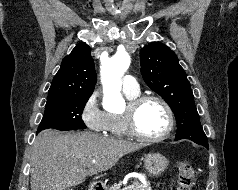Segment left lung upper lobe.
Here are the masks:
<instances>
[{
  "instance_id": "obj_1",
  "label": "left lung upper lobe",
  "mask_w": 238,
  "mask_h": 190,
  "mask_svg": "<svg viewBox=\"0 0 238 190\" xmlns=\"http://www.w3.org/2000/svg\"><path fill=\"white\" fill-rule=\"evenodd\" d=\"M140 61L146 84L167 102L175 114V140L189 139L208 147L190 82L176 54L163 43L154 42L141 49Z\"/></svg>"
}]
</instances>
